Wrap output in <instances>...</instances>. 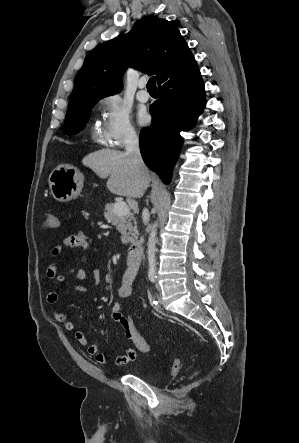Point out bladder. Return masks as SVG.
<instances>
[{"instance_id":"31cf9c89","label":"bladder","mask_w":299,"mask_h":443,"mask_svg":"<svg viewBox=\"0 0 299 443\" xmlns=\"http://www.w3.org/2000/svg\"><path fill=\"white\" fill-rule=\"evenodd\" d=\"M131 374L153 385L160 383L164 379L163 375L150 370L143 364H138L137 366H135L132 369Z\"/></svg>"}]
</instances>
